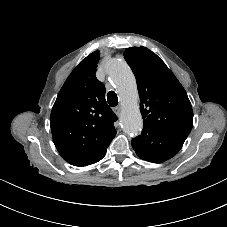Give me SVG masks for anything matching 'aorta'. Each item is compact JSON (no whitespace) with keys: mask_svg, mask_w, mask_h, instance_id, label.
Here are the masks:
<instances>
[{"mask_svg":"<svg viewBox=\"0 0 227 227\" xmlns=\"http://www.w3.org/2000/svg\"><path fill=\"white\" fill-rule=\"evenodd\" d=\"M106 72L116 85L121 102L120 121L127 134L137 135L143 127V119L138 107V91L134 75L128 64L118 58L110 59Z\"/></svg>","mask_w":227,"mask_h":227,"instance_id":"762f6f07","label":"aorta"}]
</instances>
